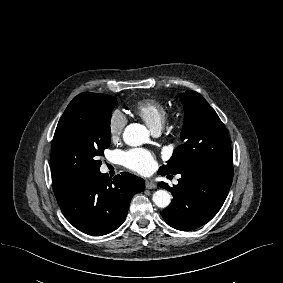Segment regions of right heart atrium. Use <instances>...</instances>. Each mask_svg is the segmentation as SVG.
<instances>
[{"mask_svg":"<svg viewBox=\"0 0 283 283\" xmlns=\"http://www.w3.org/2000/svg\"><path fill=\"white\" fill-rule=\"evenodd\" d=\"M126 124V116L119 110L113 111L108 123L109 134L112 140L120 139Z\"/></svg>","mask_w":283,"mask_h":283,"instance_id":"d8ad5b80","label":"right heart atrium"}]
</instances>
